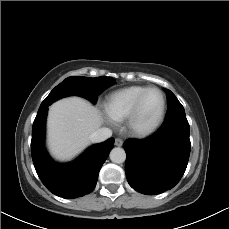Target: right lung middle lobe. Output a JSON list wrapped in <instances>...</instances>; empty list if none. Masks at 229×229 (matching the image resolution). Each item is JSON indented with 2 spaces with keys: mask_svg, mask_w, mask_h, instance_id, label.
<instances>
[{
  "mask_svg": "<svg viewBox=\"0 0 229 229\" xmlns=\"http://www.w3.org/2000/svg\"><path fill=\"white\" fill-rule=\"evenodd\" d=\"M115 83L116 81L112 77L105 76L96 78L68 77L50 92L42 104L50 105L60 98L71 95L81 96L95 103L98 95Z\"/></svg>",
  "mask_w": 229,
  "mask_h": 229,
  "instance_id": "1",
  "label": "right lung middle lobe"
}]
</instances>
